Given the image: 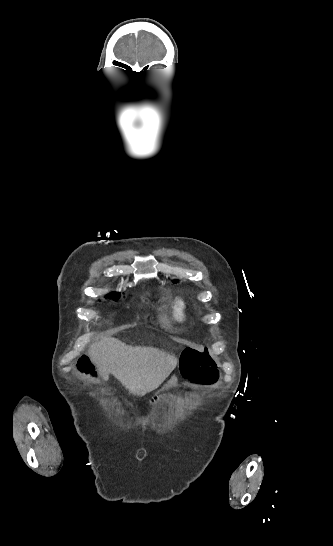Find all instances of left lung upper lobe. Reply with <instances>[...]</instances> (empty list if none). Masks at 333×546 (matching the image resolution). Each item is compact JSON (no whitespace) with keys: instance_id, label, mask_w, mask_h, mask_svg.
<instances>
[{"instance_id":"5c2ea615","label":"left lung upper lobe","mask_w":333,"mask_h":546,"mask_svg":"<svg viewBox=\"0 0 333 546\" xmlns=\"http://www.w3.org/2000/svg\"><path fill=\"white\" fill-rule=\"evenodd\" d=\"M176 282H177V280H174V283H176Z\"/></svg>"}]
</instances>
